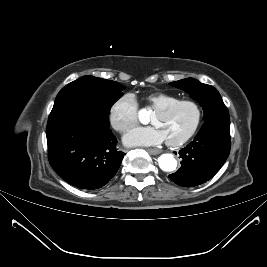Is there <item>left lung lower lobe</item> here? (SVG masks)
Here are the masks:
<instances>
[{"instance_id": "0a47b994", "label": "left lung lower lobe", "mask_w": 267, "mask_h": 267, "mask_svg": "<svg viewBox=\"0 0 267 267\" xmlns=\"http://www.w3.org/2000/svg\"><path fill=\"white\" fill-rule=\"evenodd\" d=\"M230 147L229 118L205 121L194 140L179 151L181 167L169 178L183 187L205 183L224 164Z\"/></svg>"}]
</instances>
